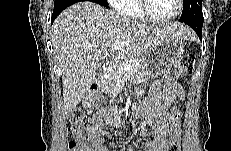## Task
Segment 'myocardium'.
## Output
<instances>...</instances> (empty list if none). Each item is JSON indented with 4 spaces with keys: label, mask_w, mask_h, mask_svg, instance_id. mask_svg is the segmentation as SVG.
<instances>
[{
    "label": "myocardium",
    "mask_w": 231,
    "mask_h": 151,
    "mask_svg": "<svg viewBox=\"0 0 231 151\" xmlns=\"http://www.w3.org/2000/svg\"><path fill=\"white\" fill-rule=\"evenodd\" d=\"M176 6H177L176 12L172 16H170L168 18H156V17L152 16L149 12L148 0H139L138 1V7H139V10H140L142 16L146 20L153 22V23H158V24H168V23L173 22L180 15V13L182 11L183 1L182 0H176Z\"/></svg>",
    "instance_id": "obj_1"
}]
</instances>
